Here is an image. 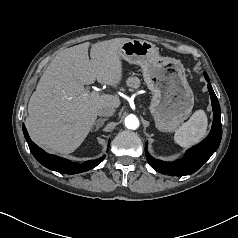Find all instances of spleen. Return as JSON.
Listing matches in <instances>:
<instances>
[{
    "mask_svg": "<svg viewBox=\"0 0 238 238\" xmlns=\"http://www.w3.org/2000/svg\"><path fill=\"white\" fill-rule=\"evenodd\" d=\"M207 125L208 120L204 110H197L176 130L174 140L181 147H190L205 137Z\"/></svg>",
    "mask_w": 238,
    "mask_h": 238,
    "instance_id": "1",
    "label": "spleen"
}]
</instances>
